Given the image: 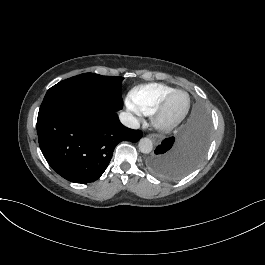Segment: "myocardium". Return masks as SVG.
I'll list each match as a JSON object with an SVG mask.
<instances>
[{
  "instance_id": "f54148a6",
  "label": "myocardium",
  "mask_w": 265,
  "mask_h": 265,
  "mask_svg": "<svg viewBox=\"0 0 265 265\" xmlns=\"http://www.w3.org/2000/svg\"><path fill=\"white\" fill-rule=\"evenodd\" d=\"M179 93H184L183 90L176 89L172 93H170L160 104L156 115H155V123L158 128L162 130H171L177 127L187 116L189 108H190V100L188 99L182 114H180L176 118H169L167 116V108L170 104L172 98Z\"/></svg>"
}]
</instances>
